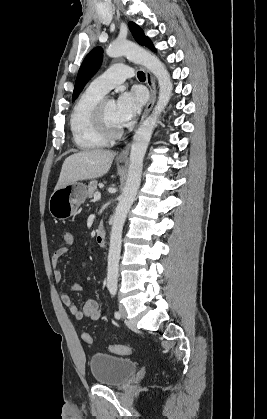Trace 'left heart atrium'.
Wrapping results in <instances>:
<instances>
[{
	"label": "left heart atrium",
	"mask_w": 267,
	"mask_h": 419,
	"mask_svg": "<svg viewBox=\"0 0 267 419\" xmlns=\"http://www.w3.org/2000/svg\"><path fill=\"white\" fill-rule=\"evenodd\" d=\"M143 95L138 90L123 92L116 102V112L119 123L126 126L131 123L139 114Z\"/></svg>",
	"instance_id": "39dd6f15"
}]
</instances>
